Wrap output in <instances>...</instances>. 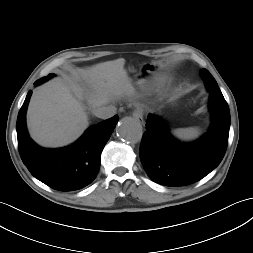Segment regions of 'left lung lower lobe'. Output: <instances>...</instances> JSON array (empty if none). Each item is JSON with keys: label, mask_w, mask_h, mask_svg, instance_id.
I'll return each mask as SVG.
<instances>
[{"label": "left lung lower lobe", "mask_w": 253, "mask_h": 253, "mask_svg": "<svg viewBox=\"0 0 253 253\" xmlns=\"http://www.w3.org/2000/svg\"><path fill=\"white\" fill-rule=\"evenodd\" d=\"M212 123L207 134L193 143L174 139L157 115L149 114L140 146V159L148 176L165 186L193 184L224 157L228 144L230 111L223 95L210 94Z\"/></svg>", "instance_id": "obj_1"}]
</instances>
